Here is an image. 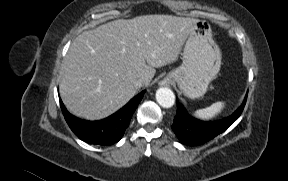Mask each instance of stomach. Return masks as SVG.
<instances>
[{
  "mask_svg": "<svg viewBox=\"0 0 288 181\" xmlns=\"http://www.w3.org/2000/svg\"><path fill=\"white\" fill-rule=\"evenodd\" d=\"M221 67V52L212 38L209 22L197 20L182 52V64L170 71L165 83L176 82L191 99L203 96Z\"/></svg>",
  "mask_w": 288,
  "mask_h": 181,
  "instance_id": "obj_1",
  "label": "stomach"
}]
</instances>
